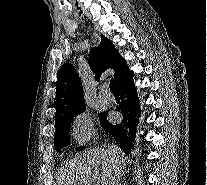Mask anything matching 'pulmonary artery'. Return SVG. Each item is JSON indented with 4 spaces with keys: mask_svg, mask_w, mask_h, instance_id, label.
Returning <instances> with one entry per match:
<instances>
[{
    "mask_svg": "<svg viewBox=\"0 0 207 185\" xmlns=\"http://www.w3.org/2000/svg\"><path fill=\"white\" fill-rule=\"evenodd\" d=\"M98 98L100 99V101L107 103V104L112 103L114 100L112 94L104 90L99 92Z\"/></svg>",
    "mask_w": 207,
    "mask_h": 185,
    "instance_id": "obj_1",
    "label": "pulmonary artery"
}]
</instances>
